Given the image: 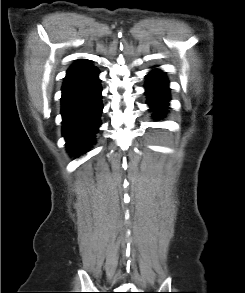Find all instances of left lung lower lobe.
Instances as JSON below:
<instances>
[{"label":"left lung lower lobe","mask_w":245,"mask_h":293,"mask_svg":"<svg viewBox=\"0 0 245 293\" xmlns=\"http://www.w3.org/2000/svg\"><path fill=\"white\" fill-rule=\"evenodd\" d=\"M148 104L158 116L165 114L170 100L168 81L162 71L154 70L147 75L145 84Z\"/></svg>","instance_id":"0a47b994"}]
</instances>
